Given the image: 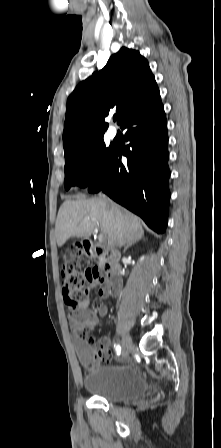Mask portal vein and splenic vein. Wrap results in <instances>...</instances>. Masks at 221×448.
I'll use <instances>...</instances> for the list:
<instances>
[{
  "instance_id": "18ae733b",
  "label": "portal vein and splenic vein",
  "mask_w": 221,
  "mask_h": 448,
  "mask_svg": "<svg viewBox=\"0 0 221 448\" xmlns=\"http://www.w3.org/2000/svg\"><path fill=\"white\" fill-rule=\"evenodd\" d=\"M98 239H99V242H103V241H104V235H103V234H100L99 237H98Z\"/></svg>"
}]
</instances>
